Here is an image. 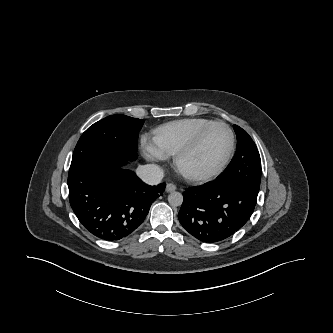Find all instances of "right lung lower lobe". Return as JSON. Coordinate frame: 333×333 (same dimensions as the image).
<instances>
[{"instance_id": "98d812e1", "label": "right lung lower lobe", "mask_w": 333, "mask_h": 333, "mask_svg": "<svg viewBox=\"0 0 333 333\" xmlns=\"http://www.w3.org/2000/svg\"><path fill=\"white\" fill-rule=\"evenodd\" d=\"M166 184H144L133 171L116 165H88L68 176L70 205L94 236L120 240L144 221Z\"/></svg>"}]
</instances>
